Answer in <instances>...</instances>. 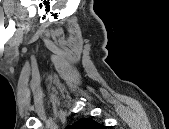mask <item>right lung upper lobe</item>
Masks as SVG:
<instances>
[{
	"label": "right lung upper lobe",
	"mask_w": 169,
	"mask_h": 129,
	"mask_svg": "<svg viewBox=\"0 0 169 129\" xmlns=\"http://www.w3.org/2000/svg\"><path fill=\"white\" fill-rule=\"evenodd\" d=\"M68 127L72 129H102L104 126L95 122L91 118H87V119H80L74 125Z\"/></svg>",
	"instance_id": "1"
}]
</instances>
